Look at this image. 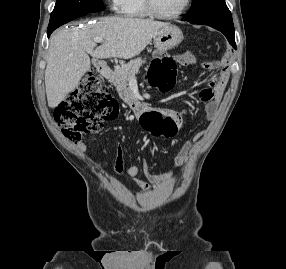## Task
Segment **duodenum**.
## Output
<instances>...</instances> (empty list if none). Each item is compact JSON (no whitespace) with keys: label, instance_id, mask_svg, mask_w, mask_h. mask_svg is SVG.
Here are the masks:
<instances>
[{"label":"duodenum","instance_id":"duodenum-1","mask_svg":"<svg viewBox=\"0 0 286 269\" xmlns=\"http://www.w3.org/2000/svg\"><path fill=\"white\" fill-rule=\"evenodd\" d=\"M96 68L99 71V73L107 80L111 77L112 71L111 68L104 62H97ZM133 107L136 108L137 111L139 110H146L147 107L144 105H140L138 103H133Z\"/></svg>","mask_w":286,"mask_h":269}]
</instances>
